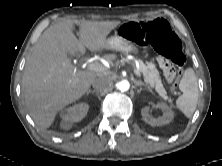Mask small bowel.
<instances>
[{"label":"small bowel","instance_id":"c3829d8e","mask_svg":"<svg viewBox=\"0 0 222 166\" xmlns=\"http://www.w3.org/2000/svg\"><path fill=\"white\" fill-rule=\"evenodd\" d=\"M158 62H159V65H160V62H161V57H159V58H158Z\"/></svg>","mask_w":222,"mask_h":166}]
</instances>
